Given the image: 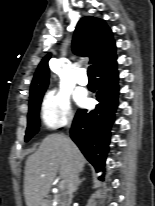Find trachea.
<instances>
[{
  "instance_id": "obj_1",
  "label": "trachea",
  "mask_w": 155,
  "mask_h": 206,
  "mask_svg": "<svg viewBox=\"0 0 155 206\" xmlns=\"http://www.w3.org/2000/svg\"><path fill=\"white\" fill-rule=\"evenodd\" d=\"M88 76L89 77H95L94 67L93 66H89V68H88Z\"/></svg>"
}]
</instances>
